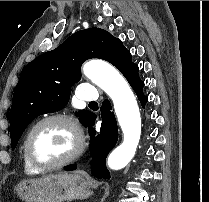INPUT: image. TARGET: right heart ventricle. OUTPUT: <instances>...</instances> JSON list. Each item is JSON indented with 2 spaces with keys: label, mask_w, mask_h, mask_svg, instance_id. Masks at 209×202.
Returning a JSON list of instances; mask_svg holds the SVG:
<instances>
[{
  "label": "right heart ventricle",
  "mask_w": 209,
  "mask_h": 202,
  "mask_svg": "<svg viewBox=\"0 0 209 202\" xmlns=\"http://www.w3.org/2000/svg\"><path fill=\"white\" fill-rule=\"evenodd\" d=\"M23 168L26 173H38L39 171L33 168L27 161L24 152H22Z\"/></svg>",
  "instance_id": "right-heart-ventricle-1"
}]
</instances>
